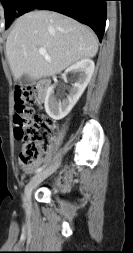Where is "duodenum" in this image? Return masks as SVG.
Returning <instances> with one entry per match:
<instances>
[{
  "label": "duodenum",
  "instance_id": "obj_1",
  "mask_svg": "<svg viewBox=\"0 0 133 253\" xmlns=\"http://www.w3.org/2000/svg\"><path fill=\"white\" fill-rule=\"evenodd\" d=\"M49 87H50V81L48 79H41L40 81H38L37 90H38L40 101H43L46 98Z\"/></svg>",
  "mask_w": 133,
  "mask_h": 253
}]
</instances>
